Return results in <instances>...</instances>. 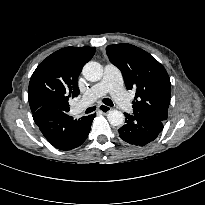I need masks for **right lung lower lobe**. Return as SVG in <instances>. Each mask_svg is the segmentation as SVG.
I'll return each instance as SVG.
<instances>
[{"label": "right lung lower lobe", "instance_id": "right-lung-lower-lobe-1", "mask_svg": "<svg viewBox=\"0 0 205 205\" xmlns=\"http://www.w3.org/2000/svg\"><path fill=\"white\" fill-rule=\"evenodd\" d=\"M67 112L54 105H45L33 113V119L42 134L60 150H71L80 146L88 137L96 115L74 120Z\"/></svg>", "mask_w": 205, "mask_h": 205}]
</instances>
